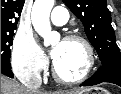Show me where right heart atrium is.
<instances>
[{
  "instance_id": "right-heart-atrium-1",
  "label": "right heart atrium",
  "mask_w": 121,
  "mask_h": 94,
  "mask_svg": "<svg viewBox=\"0 0 121 94\" xmlns=\"http://www.w3.org/2000/svg\"><path fill=\"white\" fill-rule=\"evenodd\" d=\"M46 58L37 41L31 34H18L15 37L11 64L15 75L21 79H33L41 75Z\"/></svg>"
}]
</instances>
